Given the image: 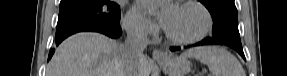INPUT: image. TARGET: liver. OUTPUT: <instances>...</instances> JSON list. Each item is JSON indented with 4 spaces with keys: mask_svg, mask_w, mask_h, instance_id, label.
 <instances>
[{
    "mask_svg": "<svg viewBox=\"0 0 287 76\" xmlns=\"http://www.w3.org/2000/svg\"><path fill=\"white\" fill-rule=\"evenodd\" d=\"M152 61L138 65V76H149ZM122 45L102 34L77 33L64 40L47 66V76H124Z\"/></svg>",
    "mask_w": 287,
    "mask_h": 76,
    "instance_id": "obj_1",
    "label": "liver"
}]
</instances>
